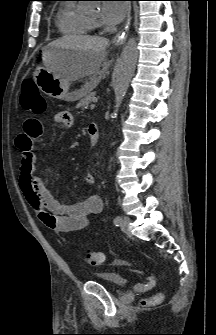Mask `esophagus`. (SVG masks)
Instances as JSON below:
<instances>
[{
  "instance_id": "obj_1",
  "label": "esophagus",
  "mask_w": 216,
  "mask_h": 335,
  "mask_svg": "<svg viewBox=\"0 0 216 335\" xmlns=\"http://www.w3.org/2000/svg\"><path fill=\"white\" fill-rule=\"evenodd\" d=\"M130 22H131V6H129V13L124 28L120 30L113 39L115 45H120L126 39L130 28Z\"/></svg>"
}]
</instances>
